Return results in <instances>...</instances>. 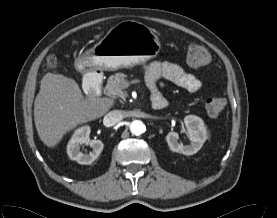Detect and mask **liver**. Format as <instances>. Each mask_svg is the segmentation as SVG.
<instances>
[{
    "mask_svg": "<svg viewBox=\"0 0 277 218\" xmlns=\"http://www.w3.org/2000/svg\"><path fill=\"white\" fill-rule=\"evenodd\" d=\"M113 105L106 97L86 100L75 80L47 73L34 102L38 136L47 147H55L68 131L103 116Z\"/></svg>",
    "mask_w": 277,
    "mask_h": 218,
    "instance_id": "liver-1",
    "label": "liver"
}]
</instances>
